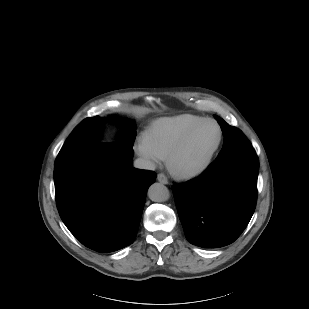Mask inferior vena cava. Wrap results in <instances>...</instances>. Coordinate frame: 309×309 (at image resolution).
Returning a JSON list of instances; mask_svg holds the SVG:
<instances>
[{
    "mask_svg": "<svg viewBox=\"0 0 309 309\" xmlns=\"http://www.w3.org/2000/svg\"><path fill=\"white\" fill-rule=\"evenodd\" d=\"M134 167L144 170H155V164L150 160L144 158H138L134 161Z\"/></svg>",
    "mask_w": 309,
    "mask_h": 309,
    "instance_id": "inferior-vena-cava-1",
    "label": "inferior vena cava"
}]
</instances>
